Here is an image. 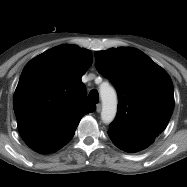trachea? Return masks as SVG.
I'll return each instance as SVG.
<instances>
[{
    "mask_svg": "<svg viewBox=\"0 0 187 187\" xmlns=\"http://www.w3.org/2000/svg\"><path fill=\"white\" fill-rule=\"evenodd\" d=\"M87 101L92 102V103H98L99 95H98V91L96 89H93L90 91Z\"/></svg>",
    "mask_w": 187,
    "mask_h": 187,
    "instance_id": "obj_1",
    "label": "trachea"
}]
</instances>
